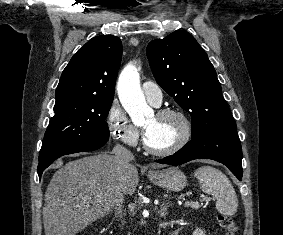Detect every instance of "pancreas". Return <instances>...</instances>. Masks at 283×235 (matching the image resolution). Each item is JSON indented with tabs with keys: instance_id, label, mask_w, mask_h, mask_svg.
<instances>
[{
	"instance_id": "obj_1",
	"label": "pancreas",
	"mask_w": 283,
	"mask_h": 235,
	"mask_svg": "<svg viewBox=\"0 0 283 235\" xmlns=\"http://www.w3.org/2000/svg\"><path fill=\"white\" fill-rule=\"evenodd\" d=\"M186 206H189L193 209H199L200 208V205L198 203H194V202L187 203Z\"/></svg>"
}]
</instances>
